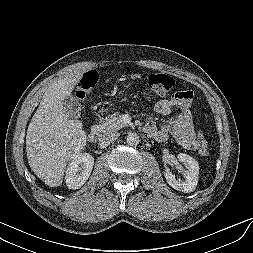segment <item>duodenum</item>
I'll return each instance as SVG.
<instances>
[{
  "label": "duodenum",
  "mask_w": 253,
  "mask_h": 253,
  "mask_svg": "<svg viewBox=\"0 0 253 253\" xmlns=\"http://www.w3.org/2000/svg\"><path fill=\"white\" fill-rule=\"evenodd\" d=\"M100 135V117H98L91 127L88 138L91 142H96Z\"/></svg>",
  "instance_id": "410a0bca"
}]
</instances>
